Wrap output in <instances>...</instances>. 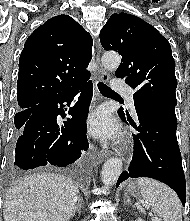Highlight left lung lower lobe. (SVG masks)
Returning <instances> with one entry per match:
<instances>
[{
	"instance_id": "obj_1",
	"label": "left lung lower lobe",
	"mask_w": 190,
	"mask_h": 221,
	"mask_svg": "<svg viewBox=\"0 0 190 221\" xmlns=\"http://www.w3.org/2000/svg\"><path fill=\"white\" fill-rule=\"evenodd\" d=\"M139 126L128 117L139 134H133L134 155L129 169L123 171L117 187L127 178L149 177L170 186L179 196L183 206L186 201V183L182 168L176 128L175 106L163 102H140L135 104ZM125 121L124 114L118 111Z\"/></svg>"
}]
</instances>
